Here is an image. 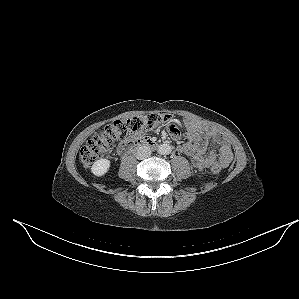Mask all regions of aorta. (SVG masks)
I'll list each match as a JSON object with an SVG mask.
<instances>
[{
    "label": "aorta",
    "mask_w": 299,
    "mask_h": 299,
    "mask_svg": "<svg viewBox=\"0 0 299 299\" xmlns=\"http://www.w3.org/2000/svg\"><path fill=\"white\" fill-rule=\"evenodd\" d=\"M158 152L162 155L171 153V147L168 144H162L158 147Z\"/></svg>",
    "instance_id": "1"
}]
</instances>
